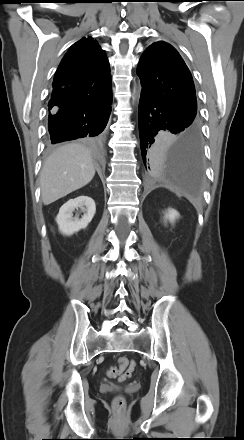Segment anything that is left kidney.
Wrapping results in <instances>:
<instances>
[{
  "instance_id": "5707ae66",
  "label": "left kidney",
  "mask_w": 244,
  "mask_h": 440,
  "mask_svg": "<svg viewBox=\"0 0 244 440\" xmlns=\"http://www.w3.org/2000/svg\"><path fill=\"white\" fill-rule=\"evenodd\" d=\"M179 217V213L174 209H168V212L165 215V219H168L170 222H174Z\"/></svg>"
}]
</instances>
